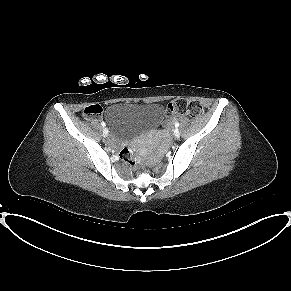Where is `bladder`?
Returning a JSON list of instances; mask_svg holds the SVG:
<instances>
[{"instance_id": "1", "label": "bladder", "mask_w": 291, "mask_h": 291, "mask_svg": "<svg viewBox=\"0 0 291 291\" xmlns=\"http://www.w3.org/2000/svg\"><path fill=\"white\" fill-rule=\"evenodd\" d=\"M164 117L165 109L160 104L116 102L105 111L111 135L122 142L157 127Z\"/></svg>"}]
</instances>
